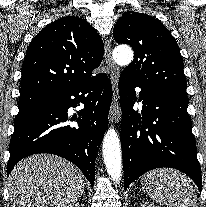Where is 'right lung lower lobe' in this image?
I'll list each match as a JSON object with an SVG mask.
<instances>
[{"label": "right lung lower lobe", "instance_id": "98d812e1", "mask_svg": "<svg viewBox=\"0 0 206 207\" xmlns=\"http://www.w3.org/2000/svg\"><path fill=\"white\" fill-rule=\"evenodd\" d=\"M48 95L47 103L16 116L7 174L29 155L50 153L74 163L93 186L95 157L107 128L112 101L111 82L106 74H98ZM80 102L84 109L68 119V109ZM68 121H77L78 126L71 127Z\"/></svg>", "mask_w": 206, "mask_h": 207}]
</instances>
